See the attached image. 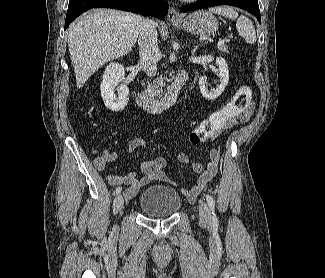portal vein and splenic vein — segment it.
Listing matches in <instances>:
<instances>
[{
  "label": "portal vein and splenic vein",
  "instance_id": "1",
  "mask_svg": "<svg viewBox=\"0 0 325 278\" xmlns=\"http://www.w3.org/2000/svg\"><path fill=\"white\" fill-rule=\"evenodd\" d=\"M225 40L224 39H219L218 41V46L224 45Z\"/></svg>",
  "mask_w": 325,
  "mask_h": 278
}]
</instances>
